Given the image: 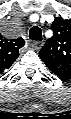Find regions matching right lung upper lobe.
Instances as JSON below:
<instances>
[{
  "label": "right lung upper lobe",
  "instance_id": "right-lung-upper-lobe-1",
  "mask_svg": "<svg viewBox=\"0 0 71 119\" xmlns=\"http://www.w3.org/2000/svg\"><path fill=\"white\" fill-rule=\"evenodd\" d=\"M24 40L19 37L13 40L0 39V73L8 69L19 56V49L23 47Z\"/></svg>",
  "mask_w": 71,
  "mask_h": 119
}]
</instances>
